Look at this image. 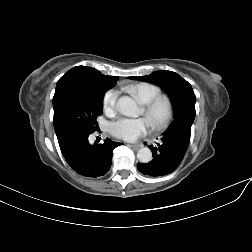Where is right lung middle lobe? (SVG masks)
I'll return each mask as SVG.
<instances>
[{
	"label": "right lung middle lobe",
	"instance_id": "obj_1",
	"mask_svg": "<svg viewBox=\"0 0 252 252\" xmlns=\"http://www.w3.org/2000/svg\"><path fill=\"white\" fill-rule=\"evenodd\" d=\"M105 86L67 85L53 97L54 128L57 137L69 131L94 132L103 110Z\"/></svg>",
	"mask_w": 252,
	"mask_h": 252
}]
</instances>
